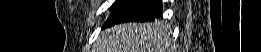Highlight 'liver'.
<instances>
[{
  "label": "liver",
  "instance_id": "obj_1",
  "mask_svg": "<svg viewBox=\"0 0 261 52\" xmlns=\"http://www.w3.org/2000/svg\"><path fill=\"white\" fill-rule=\"evenodd\" d=\"M171 31L162 21L122 23L103 31L97 52H166Z\"/></svg>",
  "mask_w": 261,
  "mask_h": 52
}]
</instances>
